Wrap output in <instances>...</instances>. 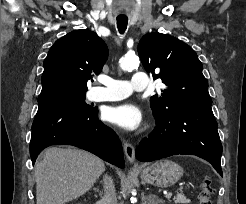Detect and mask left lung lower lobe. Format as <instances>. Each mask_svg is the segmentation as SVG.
Returning <instances> with one entry per match:
<instances>
[{
	"label": "left lung lower lobe",
	"instance_id": "obj_1",
	"mask_svg": "<svg viewBox=\"0 0 246 204\" xmlns=\"http://www.w3.org/2000/svg\"><path fill=\"white\" fill-rule=\"evenodd\" d=\"M196 155L209 161L221 175L222 145L211 106L175 108L156 120L153 133L136 149L140 161H154L172 155Z\"/></svg>",
	"mask_w": 246,
	"mask_h": 204
}]
</instances>
